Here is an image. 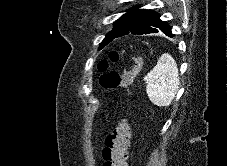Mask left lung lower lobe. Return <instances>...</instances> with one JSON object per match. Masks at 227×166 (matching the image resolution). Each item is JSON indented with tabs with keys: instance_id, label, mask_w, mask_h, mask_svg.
Wrapping results in <instances>:
<instances>
[{
	"instance_id": "1",
	"label": "left lung lower lobe",
	"mask_w": 227,
	"mask_h": 166,
	"mask_svg": "<svg viewBox=\"0 0 227 166\" xmlns=\"http://www.w3.org/2000/svg\"><path fill=\"white\" fill-rule=\"evenodd\" d=\"M162 31L165 35L169 37H173L174 35L171 32L170 26L159 19V14L151 11L142 9L136 16L135 20L133 21L132 26L117 34V37L131 34H150V33H158Z\"/></svg>"
}]
</instances>
